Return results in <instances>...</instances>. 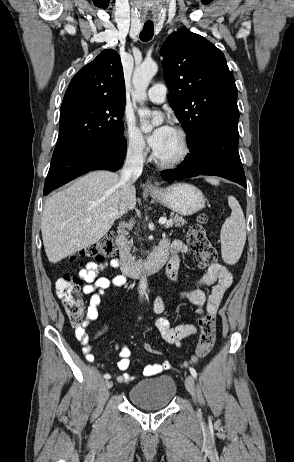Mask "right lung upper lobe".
<instances>
[{
    "label": "right lung upper lobe",
    "instance_id": "right-lung-upper-lobe-1",
    "mask_svg": "<svg viewBox=\"0 0 294 462\" xmlns=\"http://www.w3.org/2000/svg\"><path fill=\"white\" fill-rule=\"evenodd\" d=\"M77 98L126 99L123 68L115 50H103L75 74L63 102Z\"/></svg>",
    "mask_w": 294,
    "mask_h": 462
}]
</instances>
